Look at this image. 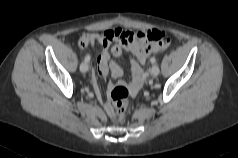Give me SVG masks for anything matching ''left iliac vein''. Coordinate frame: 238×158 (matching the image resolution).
<instances>
[{"label":"left iliac vein","mask_w":238,"mask_h":158,"mask_svg":"<svg viewBox=\"0 0 238 158\" xmlns=\"http://www.w3.org/2000/svg\"><path fill=\"white\" fill-rule=\"evenodd\" d=\"M160 72L159 66L154 64L150 70L152 76H158Z\"/></svg>","instance_id":"obj_1"}]
</instances>
